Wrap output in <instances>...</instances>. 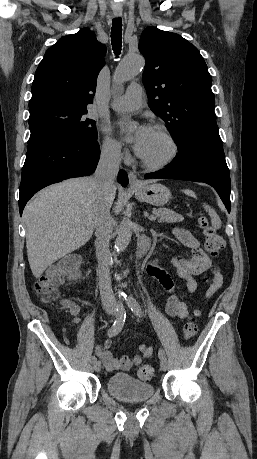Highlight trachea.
Here are the masks:
<instances>
[{
	"mask_svg": "<svg viewBox=\"0 0 257 459\" xmlns=\"http://www.w3.org/2000/svg\"><path fill=\"white\" fill-rule=\"evenodd\" d=\"M111 42L113 51L116 55H119L122 47V19H113L111 28Z\"/></svg>",
	"mask_w": 257,
	"mask_h": 459,
	"instance_id": "3493384b",
	"label": "trachea"
}]
</instances>
